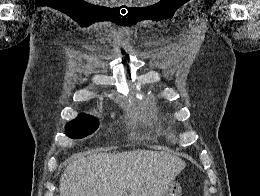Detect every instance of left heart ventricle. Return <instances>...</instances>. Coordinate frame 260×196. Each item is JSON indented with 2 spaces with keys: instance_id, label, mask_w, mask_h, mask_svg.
I'll return each mask as SVG.
<instances>
[{
  "instance_id": "obj_1",
  "label": "left heart ventricle",
  "mask_w": 260,
  "mask_h": 196,
  "mask_svg": "<svg viewBox=\"0 0 260 196\" xmlns=\"http://www.w3.org/2000/svg\"><path fill=\"white\" fill-rule=\"evenodd\" d=\"M88 192H115V190H88Z\"/></svg>"
}]
</instances>
